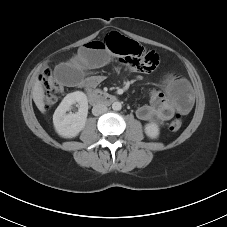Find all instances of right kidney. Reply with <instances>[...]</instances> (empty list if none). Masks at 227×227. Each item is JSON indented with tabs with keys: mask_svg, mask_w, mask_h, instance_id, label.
<instances>
[{
	"mask_svg": "<svg viewBox=\"0 0 227 227\" xmlns=\"http://www.w3.org/2000/svg\"><path fill=\"white\" fill-rule=\"evenodd\" d=\"M78 112L66 114L71 110V106L76 104ZM88 115V100L87 96L81 92L76 91L67 94L60 105L54 112L53 124L58 135L64 138L76 137L85 127Z\"/></svg>",
	"mask_w": 227,
	"mask_h": 227,
	"instance_id": "right-kidney-1",
	"label": "right kidney"
}]
</instances>
